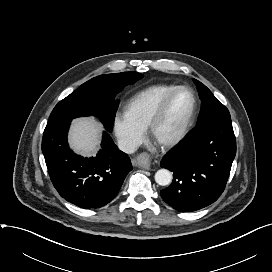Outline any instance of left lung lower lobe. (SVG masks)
I'll use <instances>...</instances> for the list:
<instances>
[{
	"instance_id": "1",
	"label": "left lung lower lobe",
	"mask_w": 272,
	"mask_h": 272,
	"mask_svg": "<svg viewBox=\"0 0 272 272\" xmlns=\"http://www.w3.org/2000/svg\"><path fill=\"white\" fill-rule=\"evenodd\" d=\"M235 154L230 117L196 126L160 163L174 177L171 185L161 190L163 200L182 212L212 204L226 186Z\"/></svg>"
}]
</instances>
